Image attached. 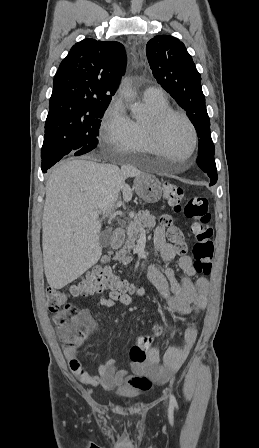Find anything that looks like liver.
I'll use <instances>...</instances> for the list:
<instances>
[{
	"instance_id": "1",
	"label": "liver",
	"mask_w": 259,
	"mask_h": 448,
	"mask_svg": "<svg viewBox=\"0 0 259 448\" xmlns=\"http://www.w3.org/2000/svg\"><path fill=\"white\" fill-rule=\"evenodd\" d=\"M128 176V170L86 158H72L53 168L42 218L43 264L50 288L61 290L100 260L101 222L113 210L119 192L129 190ZM92 212H101L102 220L93 218Z\"/></svg>"
}]
</instances>
